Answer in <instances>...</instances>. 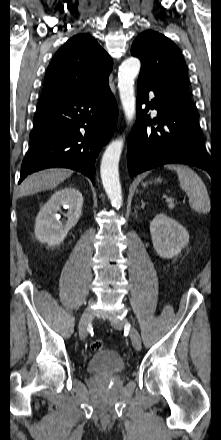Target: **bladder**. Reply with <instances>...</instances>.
<instances>
[{
	"instance_id": "bladder-1",
	"label": "bladder",
	"mask_w": 221,
	"mask_h": 440,
	"mask_svg": "<svg viewBox=\"0 0 221 440\" xmlns=\"http://www.w3.org/2000/svg\"><path fill=\"white\" fill-rule=\"evenodd\" d=\"M86 369L93 375L112 376L123 372L125 363L117 351L112 349L102 350L88 360Z\"/></svg>"
}]
</instances>
